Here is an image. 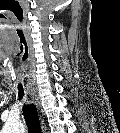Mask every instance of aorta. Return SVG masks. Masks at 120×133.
Here are the masks:
<instances>
[{"mask_svg":"<svg viewBox=\"0 0 120 133\" xmlns=\"http://www.w3.org/2000/svg\"><path fill=\"white\" fill-rule=\"evenodd\" d=\"M18 127H19L18 123H8L7 124V131L12 133V132L16 131V129Z\"/></svg>","mask_w":120,"mask_h":133,"instance_id":"aorta-1","label":"aorta"}]
</instances>
